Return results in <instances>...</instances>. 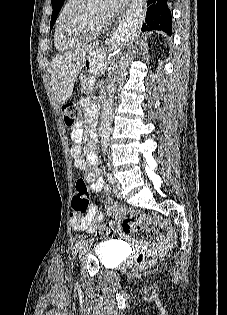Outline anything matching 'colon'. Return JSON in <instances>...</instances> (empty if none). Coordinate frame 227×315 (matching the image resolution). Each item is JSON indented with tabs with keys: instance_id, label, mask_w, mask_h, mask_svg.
<instances>
[{
	"instance_id": "colon-1",
	"label": "colon",
	"mask_w": 227,
	"mask_h": 315,
	"mask_svg": "<svg viewBox=\"0 0 227 315\" xmlns=\"http://www.w3.org/2000/svg\"><path fill=\"white\" fill-rule=\"evenodd\" d=\"M64 122L67 126H73L77 122L79 109L77 105L68 103L62 108ZM91 207L88 188L85 180L78 179L75 184V191L72 197V215L83 216ZM151 221L150 216L135 219H116V221L107 222L97 229V235L102 238L112 237L119 231L124 233H138L142 231ZM153 257L150 255L140 254L135 260V265L138 271H143L153 264Z\"/></svg>"
}]
</instances>
